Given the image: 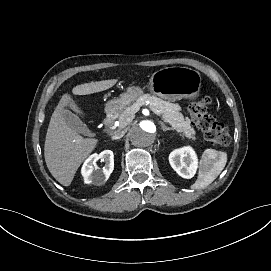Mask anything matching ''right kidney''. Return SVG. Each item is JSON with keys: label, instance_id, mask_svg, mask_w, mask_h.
Masks as SVG:
<instances>
[{"label": "right kidney", "instance_id": "ca27d5eb", "mask_svg": "<svg viewBox=\"0 0 271 271\" xmlns=\"http://www.w3.org/2000/svg\"><path fill=\"white\" fill-rule=\"evenodd\" d=\"M104 160L105 166L103 171L94 169L97 160ZM114 169V154L111 150H104L100 154L90 156L82 167V175L87 184H94L96 186L103 185L110 177Z\"/></svg>", "mask_w": 271, "mask_h": 271}]
</instances>
